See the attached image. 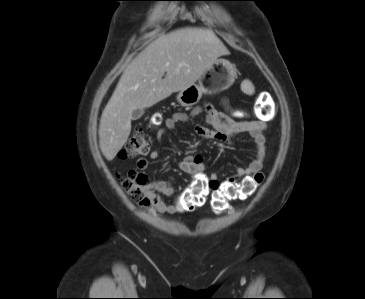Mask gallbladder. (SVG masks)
Listing matches in <instances>:
<instances>
[{"mask_svg": "<svg viewBox=\"0 0 365 299\" xmlns=\"http://www.w3.org/2000/svg\"><path fill=\"white\" fill-rule=\"evenodd\" d=\"M144 114V109H135L132 112L131 120H138Z\"/></svg>", "mask_w": 365, "mask_h": 299, "instance_id": "obj_1", "label": "gallbladder"}]
</instances>
